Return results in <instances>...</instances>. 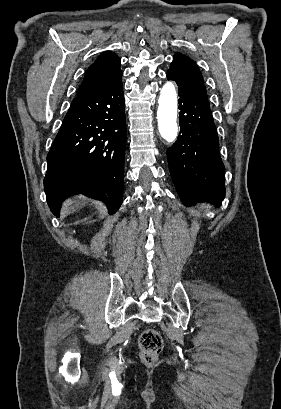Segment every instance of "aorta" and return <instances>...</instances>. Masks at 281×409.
<instances>
[{
    "label": "aorta",
    "instance_id": "762f6f07",
    "mask_svg": "<svg viewBox=\"0 0 281 409\" xmlns=\"http://www.w3.org/2000/svg\"><path fill=\"white\" fill-rule=\"evenodd\" d=\"M157 119L159 132L167 142H173L178 133L177 127V93L172 82H166L159 97Z\"/></svg>",
    "mask_w": 281,
    "mask_h": 409
}]
</instances>
